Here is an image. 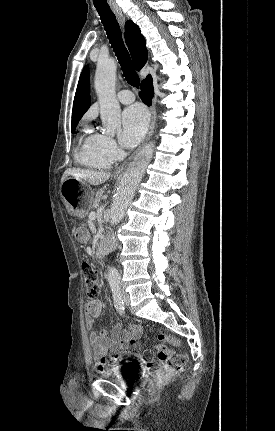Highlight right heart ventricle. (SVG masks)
Instances as JSON below:
<instances>
[{
    "mask_svg": "<svg viewBox=\"0 0 275 431\" xmlns=\"http://www.w3.org/2000/svg\"><path fill=\"white\" fill-rule=\"evenodd\" d=\"M101 134L91 129L86 130L80 136V145L76 152V160L79 164L92 169H106L113 163L100 149Z\"/></svg>",
    "mask_w": 275,
    "mask_h": 431,
    "instance_id": "obj_1",
    "label": "right heart ventricle"
}]
</instances>
